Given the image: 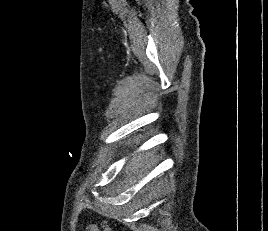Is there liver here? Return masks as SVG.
Segmentation results:
<instances>
[{"label": "liver", "instance_id": "liver-1", "mask_svg": "<svg viewBox=\"0 0 268 231\" xmlns=\"http://www.w3.org/2000/svg\"><path fill=\"white\" fill-rule=\"evenodd\" d=\"M157 163L153 152H146L134 157L126 167V172L143 171L146 167Z\"/></svg>", "mask_w": 268, "mask_h": 231}]
</instances>
